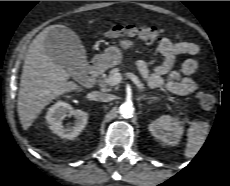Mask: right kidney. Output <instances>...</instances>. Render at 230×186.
Returning a JSON list of instances; mask_svg holds the SVG:
<instances>
[{
	"mask_svg": "<svg viewBox=\"0 0 230 186\" xmlns=\"http://www.w3.org/2000/svg\"><path fill=\"white\" fill-rule=\"evenodd\" d=\"M66 116L75 117V122L72 126L65 127L62 124V120ZM46 120L53 133L61 138L73 139L77 137L86 126L88 114L82 110H73L70 104L59 101L49 108L46 114Z\"/></svg>",
	"mask_w": 230,
	"mask_h": 186,
	"instance_id": "ca27d5eb",
	"label": "right kidney"
}]
</instances>
